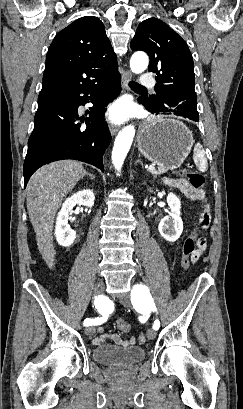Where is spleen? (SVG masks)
<instances>
[{
    "instance_id": "obj_1",
    "label": "spleen",
    "mask_w": 243,
    "mask_h": 409,
    "mask_svg": "<svg viewBox=\"0 0 243 409\" xmlns=\"http://www.w3.org/2000/svg\"><path fill=\"white\" fill-rule=\"evenodd\" d=\"M194 162L201 172L207 171L208 163L205 157V151L200 143H197L194 148Z\"/></svg>"
}]
</instances>
